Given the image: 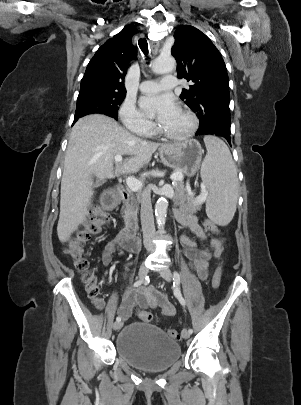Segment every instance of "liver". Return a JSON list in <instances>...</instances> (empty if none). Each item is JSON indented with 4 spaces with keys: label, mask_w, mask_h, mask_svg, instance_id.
<instances>
[{
    "label": "liver",
    "mask_w": 301,
    "mask_h": 405,
    "mask_svg": "<svg viewBox=\"0 0 301 405\" xmlns=\"http://www.w3.org/2000/svg\"><path fill=\"white\" fill-rule=\"evenodd\" d=\"M163 146L132 135L108 116L94 114L80 118L72 128L65 153L57 225L59 239H68L88 215L94 176L103 180L136 173ZM116 155L130 157L118 163L114 171Z\"/></svg>",
    "instance_id": "1"
}]
</instances>
